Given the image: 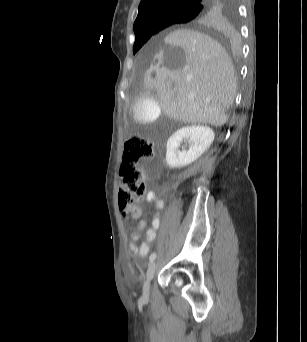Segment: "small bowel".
I'll list each match as a JSON object with an SVG mask.
<instances>
[{
	"label": "small bowel",
	"instance_id": "obj_1",
	"mask_svg": "<svg viewBox=\"0 0 307 342\" xmlns=\"http://www.w3.org/2000/svg\"><path fill=\"white\" fill-rule=\"evenodd\" d=\"M146 200L148 202H155L157 211L153 213L152 226L146 231V239L141 243L139 247L135 245V242L139 240L140 232L146 228V222L144 220H141L137 228L130 233V250L137 257H144L148 254L151 244L155 239L159 228L160 218L158 211L164 207L163 200L159 199L152 191H149L146 194ZM139 214L140 208H138V215Z\"/></svg>",
	"mask_w": 307,
	"mask_h": 342
}]
</instances>
